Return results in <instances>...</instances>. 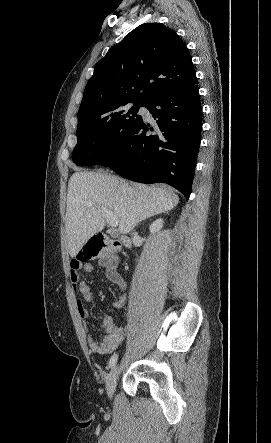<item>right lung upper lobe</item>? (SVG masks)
Wrapping results in <instances>:
<instances>
[{"label": "right lung upper lobe", "instance_id": "obj_1", "mask_svg": "<svg viewBox=\"0 0 271 443\" xmlns=\"http://www.w3.org/2000/svg\"><path fill=\"white\" fill-rule=\"evenodd\" d=\"M196 80L191 56L175 31L145 23L98 61L78 118H97L129 103L148 104L162 92Z\"/></svg>", "mask_w": 271, "mask_h": 443}]
</instances>
